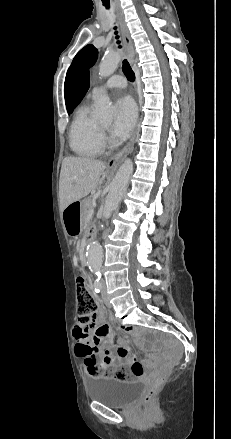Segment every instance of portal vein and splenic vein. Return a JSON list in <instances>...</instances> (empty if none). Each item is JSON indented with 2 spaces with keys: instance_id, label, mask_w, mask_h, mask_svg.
<instances>
[{
  "instance_id": "obj_1",
  "label": "portal vein and splenic vein",
  "mask_w": 231,
  "mask_h": 439,
  "mask_svg": "<svg viewBox=\"0 0 231 439\" xmlns=\"http://www.w3.org/2000/svg\"><path fill=\"white\" fill-rule=\"evenodd\" d=\"M93 213H94V211H93V210H91V211H90V214H89V216H92V215H93Z\"/></svg>"
}]
</instances>
